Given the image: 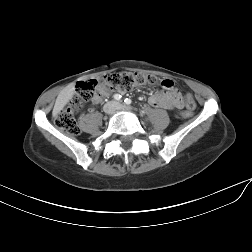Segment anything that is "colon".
Here are the masks:
<instances>
[{
    "mask_svg": "<svg viewBox=\"0 0 252 252\" xmlns=\"http://www.w3.org/2000/svg\"><path fill=\"white\" fill-rule=\"evenodd\" d=\"M158 80L153 75H148L141 72H116L104 76L100 81L90 80L81 82L75 91L68 106L60 110L55 116V124L62 131L70 135H78L80 129L77 125L75 114H77L84 105L93 101L101 89L109 91L127 92L135 86L155 85ZM166 88L173 84L170 81L163 82ZM187 110L182 113L183 116H191L196 103L192 97H186Z\"/></svg>",
    "mask_w": 252,
    "mask_h": 252,
    "instance_id": "1",
    "label": "colon"
}]
</instances>
